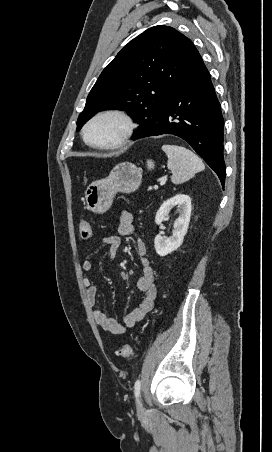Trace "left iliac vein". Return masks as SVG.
<instances>
[{
  "instance_id": "4c4485c4",
  "label": "left iliac vein",
  "mask_w": 272,
  "mask_h": 452,
  "mask_svg": "<svg viewBox=\"0 0 272 452\" xmlns=\"http://www.w3.org/2000/svg\"><path fill=\"white\" fill-rule=\"evenodd\" d=\"M137 409H138L139 413H141L143 411V408H142V405L140 404V402L138 404V408Z\"/></svg>"
}]
</instances>
